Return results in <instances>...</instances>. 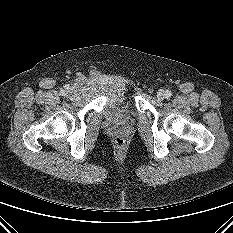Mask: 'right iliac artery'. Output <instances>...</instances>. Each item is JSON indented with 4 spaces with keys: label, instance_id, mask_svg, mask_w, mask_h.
Listing matches in <instances>:
<instances>
[{
    "label": "right iliac artery",
    "instance_id": "1",
    "mask_svg": "<svg viewBox=\"0 0 233 233\" xmlns=\"http://www.w3.org/2000/svg\"><path fill=\"white\" fill-rule=\"evenodd\" d=\"M68 88H69V86L66 85V86H65V89H68ZM60 94H61V95H64V94H65V90H64V89H61V90H60Z\"/></svg>",
    "mask_w": 233,
    "mask_h": 233
}]
</instances>
